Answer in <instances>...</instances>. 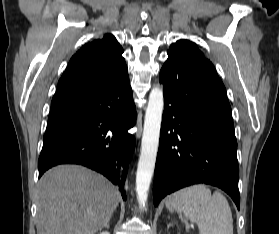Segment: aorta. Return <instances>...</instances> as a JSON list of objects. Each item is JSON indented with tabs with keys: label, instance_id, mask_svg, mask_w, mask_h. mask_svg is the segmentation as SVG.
<instances>
[{
	"label": "aorta",
	"instance_id": "aorta-1",
	"mask_svg": "<svg viewBox=\"0 0 279 234\" xmlns=\"http://www.w3.org/2000/svg\"><path fill=\"white\" fill-rule=\"evenodd\" d=\"M163 107V90L161 86H156L149 94L136 172V193L138 203L141 207H145L146 205L148 191L154 173L159 147Z\"/></svg>",
	"mask_w": 279,
	"mask_h": 234
}]
</instances>
